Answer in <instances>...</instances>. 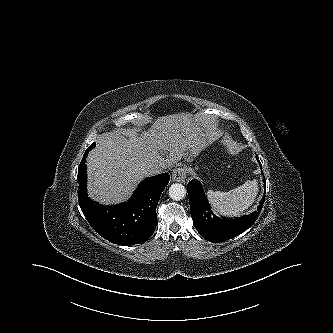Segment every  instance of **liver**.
Returning a JSON list of instances; mask_svg holds the SVG:
<instances>
[{"label":"liver","instance_id":"6515ba94","mask_svg":"<svg viewBox=\"0 0 333 333\" xmlns=\"http://www.w3.org/2000/svg\"><path fill=\"white\" fill-rule=\"evenodd\" d=\"M205 146L202 120L186 113L159 117L141 135L129 129L103 133L87 157L89 197L104 205L124 202L150 175L149 165L189 161Z\"/></svg>","mask_w":333,"mask_h":333}]
</instances>
